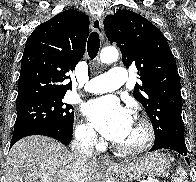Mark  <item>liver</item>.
<instances>
[{"mask_svg":"<svg viewBox=\"0 0 196 182\" xmlns=\"http://www.w3.org/2000/svg\"><path fill=\"white\" fill-rule=\"evenodd\" d=\"M72 153L60 142L41 135L23 138L11 148L6 182H72ZM102 166L89 161L84 182H100Z\"/></svg>","mask_w":196,"mask_h":182,"instance_id":"6515ba94","label":"liver"}]
</instances>
